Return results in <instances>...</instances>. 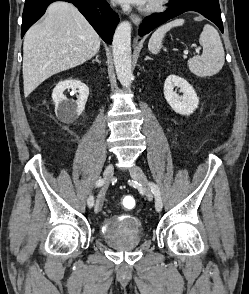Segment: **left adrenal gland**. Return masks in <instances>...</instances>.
<instances>
[{
    "label": "left adrenal gland",
    "mask_w": 249,
    "mask_h": 294,
    "mask_svg": "<svg viewBox=\"0 0 249 294\" xmlns=\"http://www.w3.org/2000/svg\"><path fill=\"white\" fill-rule=\"evenodd\" d=\"M148 59H150V57L149 56H146L145 60H148Z\"/></svg>",
    "instance_id": "left-adrenal-gland-1"
}]
</instances>
